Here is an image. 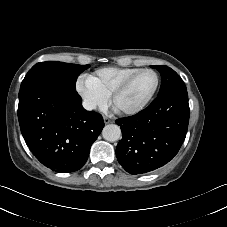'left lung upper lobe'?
<instances>
[{"instance_id": "left-lung-upper-lobe-1", "label": "left lung upper lobe", "mask_w": 227, "mask_h": 227, "mask_svg": "<svg viewBox=\"0 0 227 227\" xmlns=\"http://www.w3.org/2000/svg\"><path fill=\"white\" fill-rule=\"evenodd\" d=\"M151 67L157 69L161 75L162 83L159 94L170 90H187L181 77L170 67L164 65Z\"/></svg>"}]
</instances>
